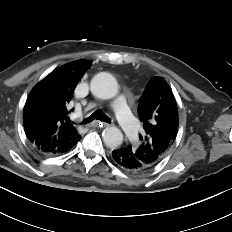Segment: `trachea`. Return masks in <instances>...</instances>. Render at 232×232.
<instances>
[{
    "mask_svg": "<svg viewBox=\"0 0 232 232\" xmlns=\"http://www.w3.org/2000/svg\"><path fill=\"white\" fill-rule=\"evenodd\" d=\"M93 120H100L103 122L111 123V119L102 113V111L97 110L93 114H91L88 118L84 119L82 124H87L92 122Z\"/></svg>",
    "mask_w": 232,
    "mask_h": 232,
    "instance_id": "1",
    "label": "trachea"
}]
</instances>
